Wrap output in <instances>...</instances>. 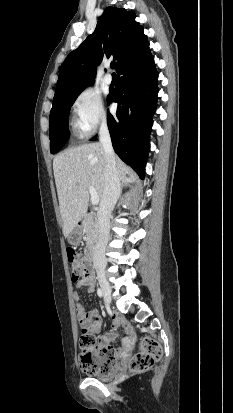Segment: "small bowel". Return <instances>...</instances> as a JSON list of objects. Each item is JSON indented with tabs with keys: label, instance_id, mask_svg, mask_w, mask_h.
I'll use <instances>...</instances> for the list:
<instances>
[{
	"label": "small bowel",
	"instance_id": "1",
	"mask_svg": "<svg viewBox=\"0 0 233 413\" xmlns=\"http://www.w3.org/2000/svg\"><path fill=\"white\" fill-rule=\"evenodd\" d=\"M78 288L84 289L88 293L94 291V278L93 275L87 279L78 282ZM76 301V313L77 320L80 324L83 334L95 335L101 331L103 318L97 310L87 311L81 303L80 295L75 293L73 296ZM114 331L102 334L98 337V345L100 348H111L110 342L117 336L116 329L123 328L126 331H130V325L127 321L119 316H115L113 320ZM124 350L115 351L116 355L123 354Z\"/></svg>",
	"mask_w": 233,
	"mask_h": 413
}]
</instances>
